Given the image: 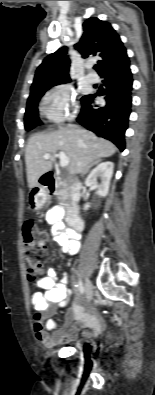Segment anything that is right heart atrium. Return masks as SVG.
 Listing matches in <instances>:
<instances>
[{
  "mask_svg": "<svg viewBox=\"0 0 155 395\" xmlns=\"http://www.w3.org/2000/svg\"><path fill=\"white\" fill-rule=\"evenodd\" d=\"M44 113L55 123L72 119L77 113L75 92L68 84L52 88L45 96Z\"/></svg>",
  "mask_w": 155,
  "mask_h": 395,
  "instance_id": "1",
  "label": "right heart atrium"
}]
</instances>
